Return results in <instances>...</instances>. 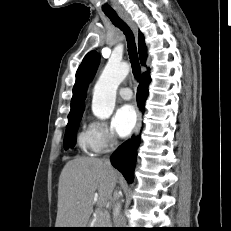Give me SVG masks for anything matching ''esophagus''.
I'll use <instances>...</instances> for the list:
<instances>
[{
  "mask_svg": "<svg viewBox=\"0 0 231 231\" xmlns=\"http://www.w3.org/2000/svg\"><path fill=\"white\" fill-rule=\"evenodd\" d=\"M120 17L127 22V24L131 27V29L133 30L135 36L138 35V29L136 24L134 23V21L130 18V16L126 13L123 12H119ZM141 125H142V114L141 112L138 113V118H137V124L135 127V131H134V135L137 136L139 134V131L141 129Z\"/></svg>",
  "mask_w": 231,
  "mask_h": 231,
  "instance_id": "obj_1",
  "label": "esophagus"
}]
</instances>
